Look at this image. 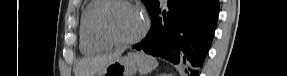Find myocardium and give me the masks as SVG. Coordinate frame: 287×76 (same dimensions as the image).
<instances>
[{
  "label": "myocardium",
  "instance_id": "1",
  "mask_svg": "<svg viewBox=\"0 0 287 76\" xmlns=\"http://www.w3.org/2000/svg\"><path fill=\"white\" fill-rule=\"evenodd\" d=\"M123 4L135 8L143 17V26L140 32L130 39H116L112 37L104 28L103 20L107 12L115 5ZM150 27L148 15L139 5L128 0H106L98 9L93 20V30L97 39L107 47H123L135 44L141 41L147 34Z\"/></svg>",
  "mask_w": 287,
  "mask_h": 76
}]
</instances>
